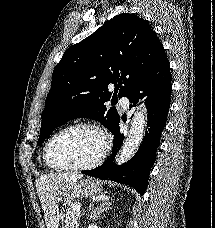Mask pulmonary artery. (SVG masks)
I'll list each match as a JSON object with an SVG mask.
<instances>
[{"label": "pulmonary artery", "instance_id": "pulmonary-artery-1", "mask_svg": "<svg viewBox=\"0 0 215 228\" xmlns=\"http://www.w3.org/2000/svg\"><path fill=\"white\" fill-rule=\"evenodd\" d=\"M118 102H121V110H130L131 97H118Z\"/></svg>", "mask_w": 215, "mask_h": 228}]
</instances>
